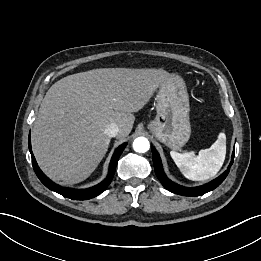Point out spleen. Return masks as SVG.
I'll use <instances>...</instances> for the list:
<instances>
[{
  "mask_svg": "<svg viewBox=\"0 0 261 261\" xmlns=\"http://www.w3.org/2000/svg\"><path fill=\"white\" fill-rule=\"evenodd\" d=\"M170 155L181 173L194 181H205L214 177L221 169L226 155V136L218 135L217 140L208 149L181 154L171 151Z\"/></svg>",
  "mask_w": 261,
  "mask_h": 261,
  "instance_id": "spleen-1",
  "label": "spleen"
}]
</instances>
